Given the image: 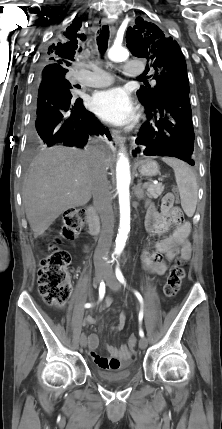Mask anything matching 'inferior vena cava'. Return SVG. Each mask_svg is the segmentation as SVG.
Returning <instances> with one entry per match:
<instances>
[{"label":"inferior vena cava","mask_w":222,"mask_h":429,"mask_svg":"<svg viewBox=\"0 0 222 429\" xmlns=\"http://www.w3.org/2000/svg\"><path fill=\"white\" fill-rule=\"evenodd\" d=\"M88 152L94 159L92 180L93 201L102 222V230L94 254V261H98L101 260L110 249L115 218L112 209V199L106 167L102 155L99 151H96V148H90Z\"/></svg>","instance_id":"602c4592"}]
</instances>
